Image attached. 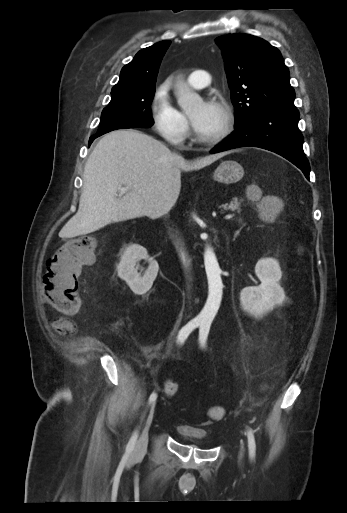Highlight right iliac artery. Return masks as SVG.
I'll use <instances>...</instances> for the list:
<instances>
[{
	"label": "right iliac artery",
	"instance_id": "obj_1",
	"mask_svg": "<svg viewBox=\"0 0 347 513\" xmlns=\"http://www.w3.org/2000/svg\"><path fill=\"white\" fill-rule=\"evenodd\" d=\"M202 323V320L198 319V318H194L193 320H191L190 322H188L185 326H183L181 328V330L179 331L178 335H177V342L179 344H183L186 339L188 338L189 334L195 329L197 328L199 325H201ZM157 398V394L155 392H153L150 397H149V403H152L156 400ZM137 436H138V433L137 431H135L132 435V437L130 438L127 446H126V452L127 453H130L134 446H135V443H136V439H137Z\"/></svg>",
	"mask_w": 347,
	"mask_h": 513
}]
</instances>
